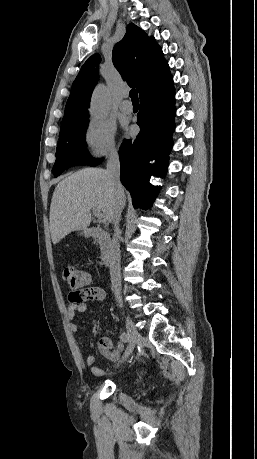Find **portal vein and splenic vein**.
<instances>
[{
  "mask_svg": "<svg viewBox=\"0 0 257 459\" xmlns=\"http://www.w3.org/2000/svg\"><path fill=\"white\" fill-rule=\"evenodd\" d=\"M92 210H93V214L96 216L98 221L105 222V218H104L103 214L99 210H97L95 208H93Z\"/></svg>",
  "mask_w": 257,
  "mask_h": 459,
  "instance_id": "1",
  "label": "portal vein and splenic vein"
}]
</instances>
